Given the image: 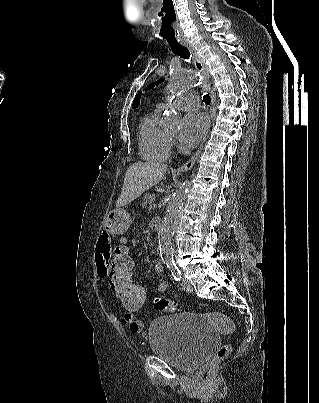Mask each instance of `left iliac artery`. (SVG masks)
Segmentation results:
<instances>
[{
	"label": "left iliac artery",
	"mask_w": 319,
	"mask_h": 403,
	"mask_svg": "<svg viewBox=\"0 0 319 403\" xmlns=\"http://www.w3.org/2000/svg\"><path fill=\"white\" fill-rule=\"evenodd\" d=\"M167 267L170 269L174 279L176 281L180 282L182 279V274H181V271L179 270V268L177 267V265L175 264V262L168 263Z\"/></svg>",
	"instance_id": "obj_1"
}]
</instances>
